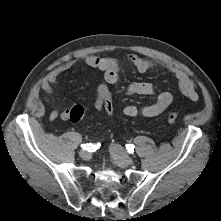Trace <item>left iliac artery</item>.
Instances as JSON below:
<instances>
[{
  "mask_svg": "<svg viewBox=\"0 0 221 221\" xmlns=\"http://www.w3.org/2000/svg\"><path fill=\"white\" fill-rule=\"evenodd\" d=\"M134 145L133 144H127L126 145V149L128 150V152L133 153L134 151Z\"/></svg>",
  "mask_w": 221,
  "mask_h": 221,
  "instance_id": "left-iliac-artery-1",
  "label": "left iliac artery"
}]
</instances>
